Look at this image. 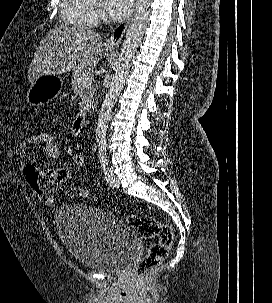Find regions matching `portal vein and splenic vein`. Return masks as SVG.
<instances>
[{
    "label": "portal vein and splenic vein",
    "mask_w": 272,
    "mask_h": 303,
    "mask_svg": "<svg viewBox=\"0 0 272 303\" xmlns=\"http://www.w3.org/2000/svg\"><path fill=\"white\" fill-rule=\"evenodd\" d=\"M82 85L83 86L92 85V77H90V76L83 77Z\"/></svg>",
    "instance_id": "obj_1"
}]
</instances>
